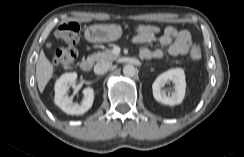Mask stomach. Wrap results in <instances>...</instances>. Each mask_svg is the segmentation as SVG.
I'll return each mask as SVG.
<instances>
[{"label":"stomach","mask_w":244,"mask_h":157,"mask_svg":"<svg viewBox=\"0 0 244 157\" xmlns=\"http://www.w3.org/2000/svg\"><path fill=\"white\" fill-rule=\"evenodd\" d=\"M122 35V28L113 24H95L85 31V37L93 43L111 42L118 40Z\"/></svg>","instance_id":"obj_1"}]
</instances>
